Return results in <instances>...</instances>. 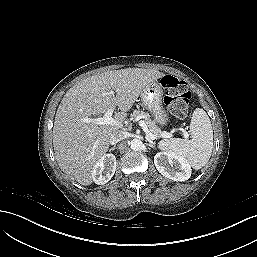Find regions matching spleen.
Segmentation results:
<instances>
[{
  "label": "spleen",
  "instance_id": "1",
  "mask_svg": "<svg viewBox=\"0 0 257 257\" xmlns=\"http://www.w3.org/2000/svg\"><path fill=\"white\" fill-rule=\"evenodd\" d=\"M191 139L171 138L161 140L160 150L176 153L183 157L191 167L201 169L209 161L213 149V130L207 113L197 108L190 123Z\"/></svg>",
  "mask_w": 257,
  "mask_h": 257
}]
</instances>
